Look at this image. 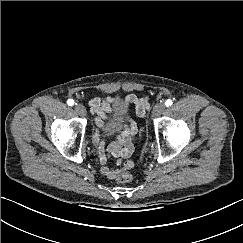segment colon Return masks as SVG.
<instances>
[{"instance_id": "obj_1", "label": "colon", "mask_w": 243, "mask_h": 243, "mask_svg": "<svg viewBox=\"0 0 243 243\" xmlns=\"http://www.w3.org/2000/svg\"><path fill=\"white\" fill-rule=\"evenodd\" d=\"M133 167L131 162H126L124 171L117 177V181L119 183H128L132 181L133 175L129 172V170Z\"/></svg>"}]
</instances>
